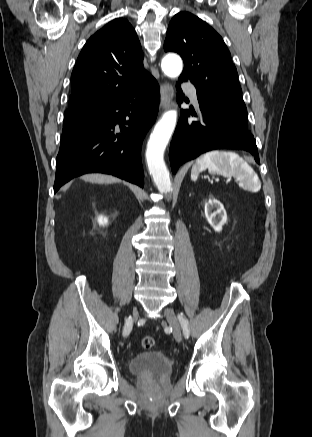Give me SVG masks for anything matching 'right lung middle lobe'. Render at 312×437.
I'll return each instance as SVG.
<instances>
[{
  "mask_svg": "<svg viewBox=\"0 0 312 437\" xmlns=\"http://www.w3.org/2000/svg\"><path fill=\"white\" fill-rule=\"evenodd\" d=\"M93 111H73L64 113L63 127H67L77 123L78 121L84 119L90 115Z\"/></svg>",
  "mask_w": 312,
  "mask_h": 437,
  "instance_id": "right-lung-middle-lobe-1",
  "label": "right lung middle lobe"
}]
</instances>
